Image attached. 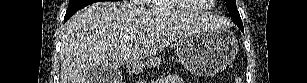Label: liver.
Instances as JSON below:
<instances>
[{"label": "liver", "instance_id": "liver-1", "mask_svg": "<svg viewBox=\"0 0 307 83\" xmlns=\"http://www.w3.org/2000/svg\"><path fill=\"white\" fill-rule=\"evenodd\" d=\"M216 22L209 14L143 10L126 2L92 4L65 23L60 83H86L95 67L118 69L131 63L140 70L143 59Z\"/></svg>", "mask_w": 307, "mask_h": 83}]
</instances>
